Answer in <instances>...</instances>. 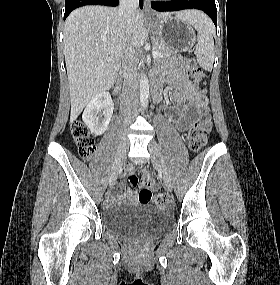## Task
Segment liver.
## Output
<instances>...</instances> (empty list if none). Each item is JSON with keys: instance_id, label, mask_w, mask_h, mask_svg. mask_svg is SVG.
<instances>
[{"instance_id": "obj_1", "label": "liver", "mask_w": 280, "mask_h": 285, "mask_svg": "<svg viewBox=\"0 0 280 285\" xmlns=\"http://www.w3.org/2000/svg\"><path fill=\"white\" fill-rule=\"evenodd\" d=\"M158 13L157 18L170 16ZM192 17L194 11L178 12ZM148 39L144 15L136 11L129 28L120 8L85 6L74 10L64 26V56L74 122L86 104L109 90L121 67L127 48H140ZM112 57L111 61L108 58Z\"/></svg>"}]
</instances>
